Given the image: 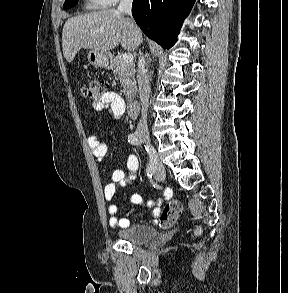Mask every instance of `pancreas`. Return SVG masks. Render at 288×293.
Listing matches in <instances>:
<instances>
[{
	"mask_svg": "<svg viewBox=\"0 0 288 293\" xmlns=\"http://www.w3.org/2000/svg\"><path fill=\"white\" fill-rule=\"evenodd\" d=\"M113 73L119 79L121 87L127 101H131L137 91L135 80V64L133 62H125L122 56L115 57L112 61Z\"/></svg>",
	"mask_w": 288,
	"mask_h": 293,
	"instance_id": "obj_1",
	"label": "pancreas"
}]
</instances>
